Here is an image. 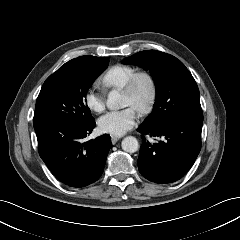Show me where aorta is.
Instances as JSON below:
<instances>
[{"label": "aorta", "mask_w": 240, "mask_h": 240, "mask_svg": "<svg viewBox=\"0 0 240 240\" xmlns=\"http://www.w3.org/2000/svg\"><path fill=\"white\" fill-rule=\"evenodd\" d=\"M106 105L110 110H118L119 108H123L125 106L122 102V96L116 90L109 93ZM121 146L124 151L134 153L138 150L139 143L135 137L127 136L122 140Z\"/></svg>", "instance_id": "762f6f07"}]
</instances>
